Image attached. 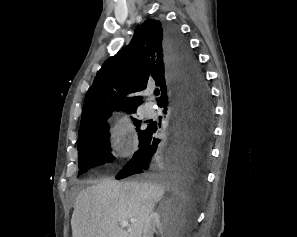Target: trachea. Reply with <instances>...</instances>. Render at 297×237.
Masks as SVG:
<instances>
[{"label":"trachea","instance_id":"3493384b","mask_svg":"<svg viewBox=\"0 0 297 237\" xmlns=\"http://www.w3.org/2000/svg\"><path fill=\"white\" fill-rule=\"evenodd\" d=\"M154 94H155L156 96H158V95L160 94V91H159L158 89H156V90L154 91Z\"/></svg>","mask_w":297,"mask_h":237}]
</instances>
